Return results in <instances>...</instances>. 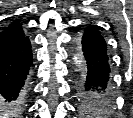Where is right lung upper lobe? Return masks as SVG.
Segmentation results:
<instances>
[{
  "label": "right lung upper lobe",
  "instance_id": "cb5924a9",
  "mask_svg": "<svg viewBox=\"0 0 133 118\" xmlns=\"http://www.w3.org/2000/svg\"><path fill=\"white\" fill-rule=\"evenodd\" d=\"M25 34L18 20L11 22L0 33V52L24 40Z\"/></svg>",
  "mask_w": 133,
  "mask_h": 118
}]
</instances>
